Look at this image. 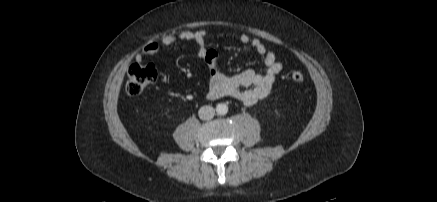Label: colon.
<instances>
[{
    "label": "colon",
    "mask_w": 437,
    "mask_h": 202,
    "mask_svg": "<svg viewBox=\"0 0 437 202\" xmlns=\"http://www.w3.org/2000/svg\"><path fill=\"white\" fill-rule=\"evenodd\" d=\"M157 75L158 71L152 64L142 65L135 63L131 65L127 73L126 92L131 96L141 94L156 81ZM291 79L299 83L304 80V75L300 71H294L291 74Z\"/></svg>",
    "instance_id": "obj_1"
}]
</instances>
